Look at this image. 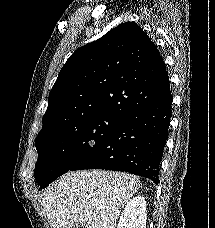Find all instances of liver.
<instances>
[{
	"label": "liver",
	"mask_w": 215,
	"mask_h": 228,
	"mask_svg": "<svg viewBox=\"0 0 215 228\" xmlns=\"http://www.w3.org/2000/svg\"><path fill=\"white\" fill-rule=\"evenodd\" d=\"M140 188L126 172H67L42 192L52 228H116L121 208Z\"/></svg>",
	"instance_id": "1"
}]
</instances>
